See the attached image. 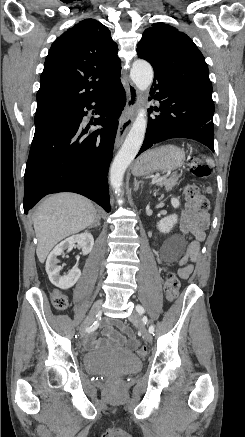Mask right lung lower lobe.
<instances>
[{"label": "right lung lower lobe", "instance_id": "98d812e1", "mask_svg": "<svg viewBox=\"0 0 245 437\" xmlns=\"http://www.w3.org/2000/svg\"><path fill=\"white\" fill-rule=\"evenodd\" d=\"M92 102L100 115L94 125L103 128L83 137L84 109H91ZM125 103L119 80L92 99L63 105L35 125L24 175L26 214L45 195L63 191L84 195L110 212L107 173Z\"/></svg>", "mask_w": 245, "mask_h": 437}]
</instances>
